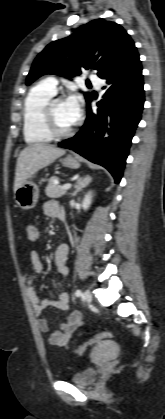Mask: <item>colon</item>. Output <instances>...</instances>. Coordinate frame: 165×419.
Listing matches in <instances>:
<instances>
[{
  "label": "colon",
  "instance_id": "1",
  "mask_svg": "<svg viewBox=\"0 0 165 419\" xmlns=\"http://www.w3.org/2000/svg\"><path fill=\"white\" fill-rule=\"evenodd\" d=\"M30 233H31L32 236L35 235V231L33 229H30ZM111 336H112V334L109 331H105V332H102V333H100L98 335H95L94 337H92L88 341H86L83 344H81L77 348V352L78 353H83L84 351H86L90 347L96 345L97 343L102 342L104 340H107V339L111 338Z\"/></svg>",
  "mask_w": 165,
  "mask_h": 419
}]
</instances>
